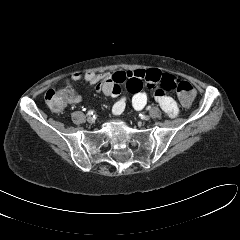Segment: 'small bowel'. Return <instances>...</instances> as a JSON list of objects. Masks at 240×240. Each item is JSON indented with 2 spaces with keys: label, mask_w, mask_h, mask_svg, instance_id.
Segmentation results:
<instances>
[{
  "label": "small bowel",
  "mask_w": 240,
  "mask_h": 240,
  "mask_svg": "<svg viewBox=\"0 0 240 240\" xmlns=\"http://www.w3.org/2000/svg\"><path fill=\"white\" fill-rule=\"evenodd\" d=\"M80 80L95 85L98 93H103L107 97H118L112 107L114 115H120L127 104L126 96L121 95L122 84L133 95L132 106L137 111L142 110L147 103L148 96L143 91V86L146 85L153 90L154 99L168 116L175 117L179 112L176 101L168 94L175 87L177 80L172 74L163 73L159 69H137L113 73L75 72L65 81L70 103L76 104L82 99L72 86V82Z\"/></svg>",
  "instance_id": "small-bowel-1"
}]
</instances>
